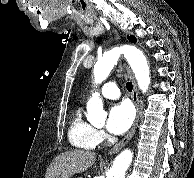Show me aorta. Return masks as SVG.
Here are the masks:
<instances>
[{
	"mask_svg": "<svg viewBox=\"0 0 194 178\" xmlns=\"http://www.w3.org/2000/svg\"><path fill=\"white\" fill-rule=\"evenodd\" d=\"M123 54L131 66L138 87L143 93H146L150 85V69L143 52L132 45H123L115 47L103 55L94 66L93 74L96 84L104 81L114 65L117 63L119 56ZM106 112L103 108L102 99L98 93L92 94L87 103V119L92 124L104 123ZM133 154L130 150L122 151L114 160V163L107 173V178H124L125 172L132 162Z\"/></svg>",
	"mask_w": 194,
	"mask_h": 178,
	"instance_id": "aorta-1",
	"label": "aorta"
}]
</instances>
